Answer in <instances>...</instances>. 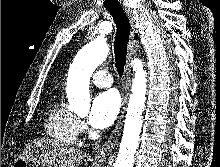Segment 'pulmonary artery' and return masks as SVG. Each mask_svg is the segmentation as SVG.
I'll use <instances>...</instances> for the list:
<instances>
[{
  "label": "pulmonary artery",
  "mask_w": 220,
  "mask_h": 167,
  "mask_svg": "<svg viewBox=\"0 0 220 167\" xmlns=\"http://www.w3.org/2000/svg\"><path fill=\"white\" fill-rule=\"evenodd\" d=\"M92 82L100 88H108L112 86L113 79L106 70H97L91 77Z\"/></svg>",
  "instance_id": "pulmonary-artery-1"
}]
</instances>
